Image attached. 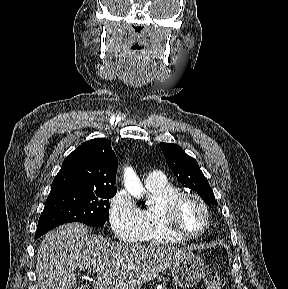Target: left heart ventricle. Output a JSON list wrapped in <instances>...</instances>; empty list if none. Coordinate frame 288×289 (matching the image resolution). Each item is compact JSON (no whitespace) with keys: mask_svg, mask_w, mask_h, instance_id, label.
Here are the masks:
<instances>
[{"mask_svg":"<svg viewBox=\"0 0 288 289\" xmlns=\"http://www.w3.org/2000/svg\"><path fill=\"white\" fill-rule=\"evenodd\" d=\"M177 222L184 231L196 233L205 225V213L198 202L186 199L177 209Z\"/></svg>","mask_w":288,"mask_h":289,"instance_id":"b2bd125f","label":"left heart ventricle"}]
</instances>
